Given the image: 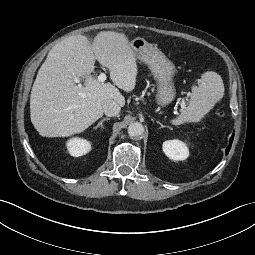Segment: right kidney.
I'll return each instance as SVG.
<instances>
[{
    "label": "right kidney",
    "mask_w": 255,
    "mask_h": 255,
    "mask_svg": "<svg viewBox=\"0 0 255 255\" xmlns=\"http://www.w3.org/2000/svg\"><path fill=\"white\" fill-rule=\"evenodd\" d=\"M67 149L72 156L79 157L91 150V143L83 138H72L66 143Z\"/></svg>",
    "instance_id": "obj_1"
}]
</instances>
